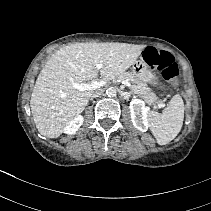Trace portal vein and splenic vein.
Returning a JSON list of instances; mask_svg holds the SVG:
<instances>
[{
  "label": "portal vein and splenic vein",
  "mask_w": 211,
  "mask_h": 211,
  "mask_svg": "<svg viewBox=\"0 0 211 211\" xmlns=\"http://www.w3.org/2000/svg\"><path fill=\"white\" fill-rule=\"evenodd\" d=\"M97 68L100 69L101 65L98 64ZM106 84L105 81H92L91 83H73V87L79 91H85V90H95L98 89ZM122 84H124L127 87L131 86V83L127 80H122ZM159 107H162L163 105L161 103L158 104Z\"/></svg>",
  "instance_id": "18ae733b"
}]
</instances>
